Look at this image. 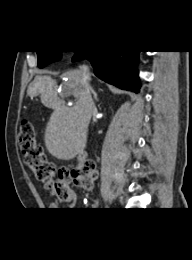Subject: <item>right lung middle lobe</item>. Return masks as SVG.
I'll return each instance as SVG.
<instances>
[{"label": "right lung middle lobe", "mask_w": 192, "mask_h": 260, "mask_svg": "<svg viewBox=\"0 0 192 260\" xmlns=\"http://www.w3.org/2000/svg\"><path fill=\"white\" fill-rule=\"evenodd\" d=\"M61 52L62 51H37L38 66L43 68L51 62L59 60L61 58Z\"/></svg>", "instance_id": "right-lung-middle-lobe-1"}]
</instances>
